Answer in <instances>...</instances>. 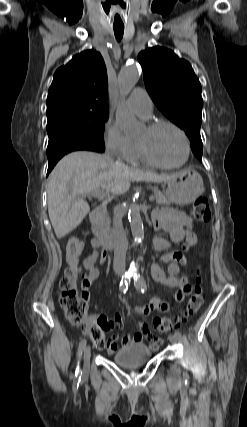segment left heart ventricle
<instances>
[{
    "instance_id": "left-heart-ventricle-1",
    "label": "left heart ventricle",
    "mask_w": 247,
    "mask_h": 427,
    "mask_svg": "<svg viewBox=\"0 0 247 427\" xmlns=\"http://www.w3.org/2000/svg\"><path fill=\"white\" fill-rule=\"evenodd\" d=\"M138 141L143 142L152 157L164 164H177L184 157L181 136L170 127H161L153 132L145 128Z\"/></svg>"
}]
</instances>
